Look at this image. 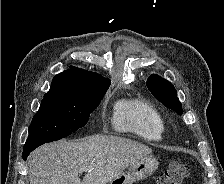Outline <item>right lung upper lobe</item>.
Here are the masks:
<instances>
[{
  "mask_svg": "<svg viewBox=\"0 0 224 184\" xmlns=\"http://www.w3.org/2000/svg\"><path fill=\"white\" fill-rule=\"evenodd\" d=\"M110 80L97 73L70 67L56 75L44 97L71 98L86 96L107 89Z\"/></svg>",
  "mask_w": 224,
  "mask_h": 184,
  "instance_id": "right-lung-upper-lobe-1",
  "label": "right lung upper lobe"
}]
</instances>
